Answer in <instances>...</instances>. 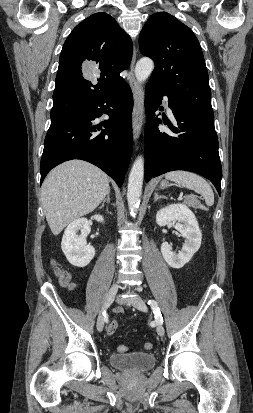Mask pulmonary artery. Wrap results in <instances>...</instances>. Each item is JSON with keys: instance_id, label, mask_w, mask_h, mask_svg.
Listing matches in <instances>:
<instances>
[{"instance_id": "e3ab8cb5", "label": "pulmonary artery", "mask_w": 253, "mask_h": 413, "mask_svg": "<svg viewBox=\"0 0 253 413\" xmlns=\"http://www.w3.org/2000/svg\"><path fill=\"white\" fill-rule=\"evenodd\" d=\"M164 105H165V107H166V109H167L168 114H169L170 116H173L172 110H171V108L169 107V102H168V98H167V97H164Z\"/></svg>"}]
</instances>
